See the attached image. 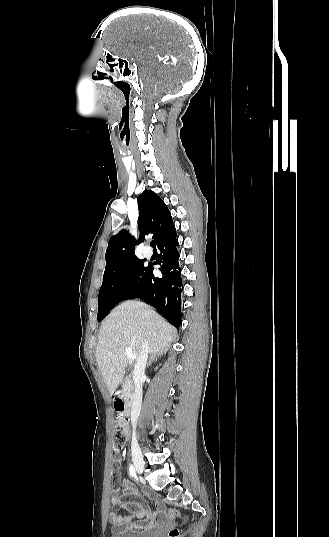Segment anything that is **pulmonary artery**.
<instances>
[{
  "label": "pulmonary artery",
  "mask_w": 329,
  "mask_h": 537,
  "mask_svg": "<svg viewBox=\"0 0 329 537\" xmlns=\"http://www.w3.org/2000/svg\"><path fill=\"white\" fill-rule=\"evenodd\" d=\"M152 253H153V252H152L151 248H149V247H145V248L143 249V254H144L146 257H151V256H152Z\"/></svg>",
  "instance_id": "1"
}]
</instances>
